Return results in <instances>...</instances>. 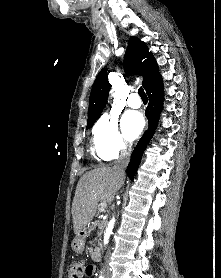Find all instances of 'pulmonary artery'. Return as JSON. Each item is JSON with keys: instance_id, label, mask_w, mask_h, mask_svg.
Here are the masks:
<instances>
[{"instance_id": "e3ab8cb5", "label": "pulmonary artery", "mask_w": 221, "mask_h": 278, "mask_svg": "<svg viewBox=\"0 0 221 278\" xmlns=\"http://www.w3.org/2000/svg\"><path fill=\"white\" fill-rule=\"evenodd\" d=\"M127 104L131 108H140L142 103L137 93H131L127 98Z\"/></svg>"}]
</instances>
